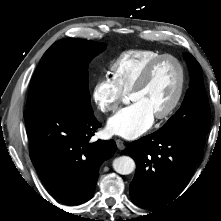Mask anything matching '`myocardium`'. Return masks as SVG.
I'll return each instance as SVG.
<instances>
[{
  "instance_id": "myocardium-1",
  "label": "myocardium",
  "mask_w": 221,
  "mask_h": 221,
  "mask_svg": "<svg viewBox=\"0 0 221 221\" xmlns=\"http://www.w3.org/2000/svg\"><path fill=\"white\" fill-rule=\"evenodd\" d=\"M166 60H172L178 67L179 69V83L178 87L175 93V96L169 106L161 113L156 114L154 117L157 120H164L170 117L177 107L179 106L181 99L183 97L184 89H185V84H186V72L185 68L182 64V62L175 56L170 55V54H163L151 62L147 64V66L143 69L137 80L135 81L134 85L130 89V95L136 91L141 90L149 81L154 69L162 62Z\"/></svg>"
}]
</instances>
